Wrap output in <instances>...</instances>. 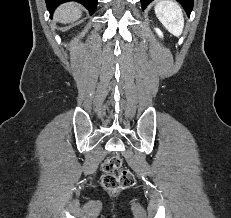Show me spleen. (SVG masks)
Returning <instances> with one entry per match:
<instances>
[{
  "label": "spleen",
  "mask_w": 231,
  "mask_h": 218,
  "mask_svg": "<svg viewBox=\"0 0 231 218\" xmlns=\"http://www.w3.org/2000/svg\"><path fill=\"white\" fill-rule=\"evenodd\" d=\"M155 13L166 29L175 36L182 34L184 18L181 7L173 0H159Z\"/></svg>",
  "instance_id": "3e777b00"
}]
</instances>
